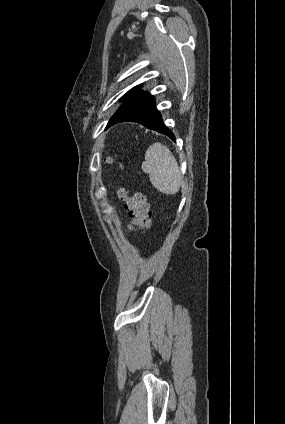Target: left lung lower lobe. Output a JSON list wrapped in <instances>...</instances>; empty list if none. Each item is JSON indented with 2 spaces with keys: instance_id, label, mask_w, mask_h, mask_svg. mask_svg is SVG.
<instances>
[{
  "instance_id": "1",
  "label": "left lung lower lobe",
  "mask_w": 285,
  "mask_h": 424,
  "mask_svg": "<svg viewBox=\"0 0 285 424\" xmlns=\"http://www.w3.org/2000/svg\"><path fill=\"white\" fill-rule=\"evenodd\" d=\"M119 122H137L148 129L165 134L175 141L174 134L161 119L154 97L148 92L134 93L126 98L109 120L107 127Z\"/></svg>"
}]
</instances>
